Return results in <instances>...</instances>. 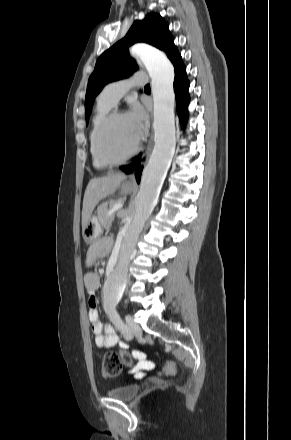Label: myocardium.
Segmentation results:
<instances>
[{
  "mask_svg": "<svg viewBox=\"0 0 291 440\" xmlns=\"http://www.w3.org/2000/svg\"><path fill=\"white\" fill-rule=\"evenodd\" d=\"M121 116H125V114L119 110H112L102 119V121L100 122V124L97 128V131H96L95 142H96L97 156L99 157V159L101 161H103L104 163H106L108 165L123 164V163L127 162L128 160H130L140 149L141 139L138 138L134 147L125 156H123L121 158L112 157L106 153V151L104 149V143H103L104 133H105L108 125L115 118L121 117Z\"/></svg>",
  "mask_w": 291,
  "mask_h": 440,
  "instance_id": "myocardium-1",
  "label": "myocardium"
}]
</instances>
